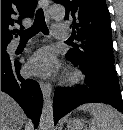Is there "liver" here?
<instances>
[{"label": "liver", "mask_w": 123, "mask_h": 130, "mask_svg": "<svg viewBox=\"0 0 123 130\" xmlns=\"http://www.w3.org/2000/svg\"><path fill=\"white\" fill-rule=\"evenodd\" d=\"M25 114L9 95L1 92V130H21Z\"/></svg>", "instance_id": "liver-1"}]
</instances>
